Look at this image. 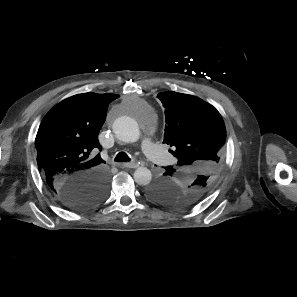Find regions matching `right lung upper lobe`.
<instances>
[{
  "label": "right lung upper lobe",
  "instance_id": "cb5924a9",
  "mask_svg": "<svg viewBox=\"0 0 297 297\" xmlns=\"http://www.w3.org/2000/svg\"><path fill=\"white\" fill-rule=\"evenodd\" d=\"M116 94L69 97L44 117L36 136L37 163L52 192L92 172H105L98 134Z\"/></svg>",
  "mask_w": 297,
  "mask_h": 297
}]
</instances>
